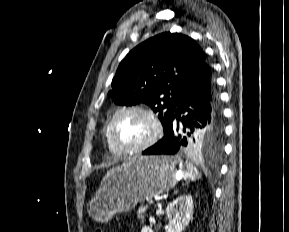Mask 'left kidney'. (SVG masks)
<instances>
[{"mask_svg":"<svg viewBox=\"0 0 289 232\" xmlns=\"http://www.w3.org/2000/svg\"><path fill=\"white\" fill-rule=\"evenodd\" d=\"M194 204L191 195H181L170 202L166 207L169 224L166 232H182L189 224L193 214ZM141 232H153L149 226Z\"/></svg>","mask_w":289,"mask_h":232,"instance_id":"1","label":"left kidney"}]
</instances>
